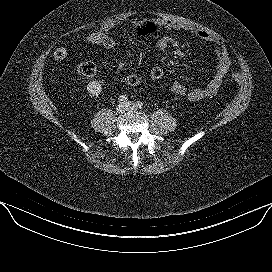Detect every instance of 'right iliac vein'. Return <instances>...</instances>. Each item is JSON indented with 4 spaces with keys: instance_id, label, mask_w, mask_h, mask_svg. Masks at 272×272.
<instances>
[{
    "instance_id": "1",
    "label": "right iliac vein",
    "mask_w": 272,
    "mask_h": 272,
    "mask_svg": "<svg viewBox=\"0 0 272 272\" xmlns=\"http://www.w3.org/2000/svg\"><path fill=\"white\" fill-rule=\"evenodd\" d=\"M126 110V104L120 103L117 107H116V111L118 113H123Z\"/></svg>"
}]
</instances>
